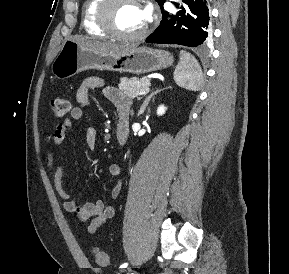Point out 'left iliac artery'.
Returning a JSON list of instances; mask_svg holds the SVG:
<instances>
[{"mask_svg": "<svg viewBox=\"0 0 289 274\" xmlns=\"http://www.w3.org/2000/svg\"><path fill=\"white\" fill-rule=\"evenodd\" d=\"M128 266V263H124L120 266V268H126Z\"/></svg>", "mask_w": 289, "mask_h": 274, "instance_id": "obj_1", "label": "left iliac artery"}]
</instances>
